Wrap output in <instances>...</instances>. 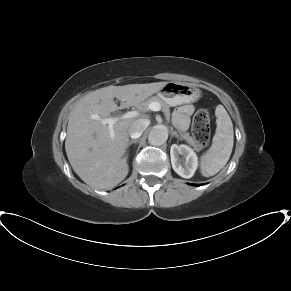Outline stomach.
I'll use <instances>...</instances> for the list:
<instances>
[{
  "label": "stomach",
  "instance_id": "1",
  "mask_svg": "<svg viewBox=\"0 0 291 291\" xmlns=\"http://www.w3.org/2000/svg\"><path fill=\"white\" fill-rule=\"evenodd\" d=\"M157 95L171 106L190 103L200 97V90L190 84L180 82H167Z\"/></svg>",
  "mask_w": 291,
  "mask_h": 291
}]
</instances>
